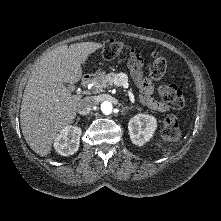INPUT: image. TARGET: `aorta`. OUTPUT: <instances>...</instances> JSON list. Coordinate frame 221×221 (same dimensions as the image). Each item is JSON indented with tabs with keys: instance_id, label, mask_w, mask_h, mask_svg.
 <instances>
[{
	"instance_id": "1",
	"label": "aorta",
	"mask_w": 221,
	"mask_h": 221,
	"mask_svg": "<svg viewBox=\"0 0 221 221\" xmlns=\"http://www.w3.org/2000/svg\"><path fill=\"white\" fill-rule=\"evenodd\" d=\"M113 106L110 102L104 101L101 104V111L105 114L108 115L112 112Z\"/></svg>"
}]
</instances>
